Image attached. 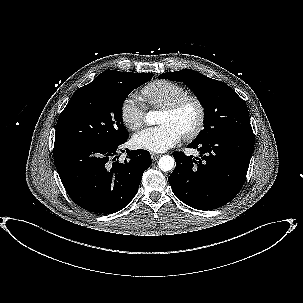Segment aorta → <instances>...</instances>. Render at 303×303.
I'll return each mask as SVG.
<instances>
[{
	"label": "aorta",
	"mask_w": 303,
	"mask_h": 303,
	"mask_svg": "<svg viewBox=\"0 0 303 303\" xmlns=\"http://www.w3.org/2000/svg\"><path fill=\"white\" fill-rule=\"evenodd\" d=\"M146 121L149 125H154L157 121V112L149 111L146 115ZM174 158L170 155H164L159 159L158 166L162 171H170L174 167Z\"/></svg>",
	"instance_id": "aorta-1"
}]
</instances>
